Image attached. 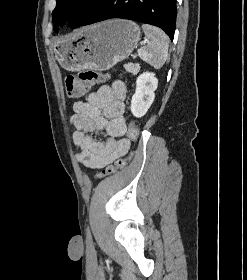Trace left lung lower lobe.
Returning <instances> with one entry per match:
<instances>
[{"label":"left lung lower lobe","mask_w":247,"mask_h":280,"mask_svg":"<svg viewBox=\"0 0 247 280\" xmlns=\"http://www.w3.org/2000/svg\"><path fill=\"white\" fill-rule=\"evenodd\" d=\"M176 16V0H105L79 26L110 18L130 19L158 26L173 40Z\"/></svg>","instance_id":"left-lung-lower-lobe-1"}]
</instances>
